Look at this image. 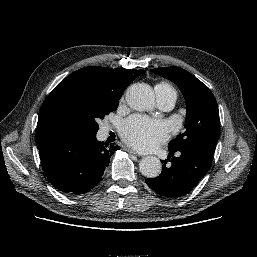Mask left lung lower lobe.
<instances>
[{
	"label": "left lung lower lobe",
	"instance_id": "left-lung-lower-lobe-1",
	"mask_svg": "<svg viewBox=\"0 0 257 257\" xmlns=\"http://www.w3.org/2000/svg\"><path fill=\"white\" fill-rule=\"evenodd\" d=\"M167 161H162V172L145 180L156 193L171 198L188 194L204 177L212 164L213 152L201 147L170 149ZM178 153V156H173ZM173 156V157H170Z\"/></svg>",
	"mask_w": 257,
	"mask_h": 257
}]
</instances>
